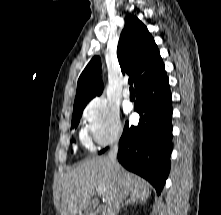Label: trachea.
<instances>
[{
  "label": "trachea",
  "mask_w": 221,
  "mask_h": 215,
  "mask_svg": "<svg viewBox=\"0 0 221 215\" xmlns=\"http://www.w3.org/2000/svg\"><path fill=\"white\" fill-rule=\"evenodd\" d=\"M128 83L130 84V86H131V88H132V84H133L132 78H130V79L128 80Z\"/></svg>",
  "instance_id": "1"
}]
</instances>
